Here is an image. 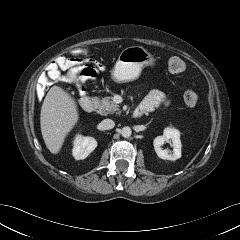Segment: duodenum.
Wrapping results in <instances>:
<instances>
[{"mask_svg":"<svg viewBox=\"0 0 240 240\" xmlns=\"http://www.w3.org/2000/svg\"><path fill=\"white\" fill-rule=\"evenodd\" d=\"M80 106H81L83 111L92 112L94 107H95V101L93 100V98H91L89 96H84L80 100ZM142 116H143V112L140 109H136L133 112V117L134 118H140Z\"/></svg>","mask_w":240,"mask_h":240,"instance_id":"410a0bca","label":"duodenum"}]
</instances>
